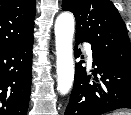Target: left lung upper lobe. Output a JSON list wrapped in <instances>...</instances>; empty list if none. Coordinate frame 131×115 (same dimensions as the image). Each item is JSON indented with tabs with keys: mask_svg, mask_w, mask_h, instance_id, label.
Returning a JSON list of instances; mask_svg holds the SVG:
<instances>
[{
	"mask_svg": "<svg viewBox=\"0 0 131 115\" xmlns=\"http://www.w3.org/2000/svg\"><path fill=\"white\" fill-rule=\"evenodd\" d=\"M73 12L76 36L85 39L109 61L131 70V45L126 26L110 0H63Z\"/></svg>",
	"mask_w": 131,
	"mask_h": 115,
	"instance_id": "left-lung-upper-lobe-1",
	"label": "left lung upper lobe"
}]
</instances>
